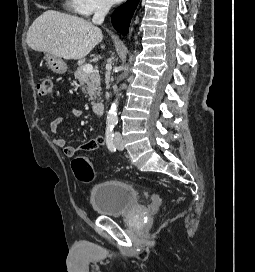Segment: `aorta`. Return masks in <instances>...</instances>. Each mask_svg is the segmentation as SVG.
<instances>
[{"instance_id":"1","label":"aorta","mask_w":255,"mask_h":272,"mask_svg":"<svg viewBox=\"0 0 255 272\" xmlns=\"http://www.w3.org/2000/svg\"><path fill=\"white\" fill-rule=\"evenodd\" d=\"M124 70H126V67H123ZM118 97L113 101L111 104V107L108 111L107 117H106V127L107 129L113 128L117 122H118V117H117V110H118Z\"/></svg>"}]
</instances>
